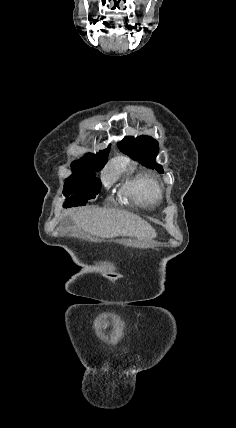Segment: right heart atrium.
I'll list each match as a JSON object with an SVG mask.
<instances>
[{"instance_id": "d8ad5b80", "label": "right heart atrium", "mask_w": 236, "mask_h": 428, "mask_svg": "<svg viewBox=\"0 0 236 428\" xmlns=\"http://www.w3.org/2000/svg\"><path fill=\"white\" fill-rule=\"evenodd\" d=\"M105 185H109V181L108 180L105 181Z\"/></svg>"}]
</instances>
